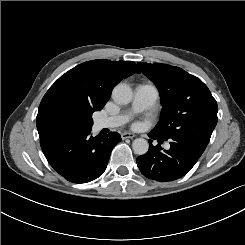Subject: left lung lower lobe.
<instances>
[{"label": "left lung lower lobe", "mask_w": 245, "mask_h": 245, "mask_svg": "<svg viewBox=\"0 0 245 245\" xmlns=\"http://www.w3.org/2000/svg\"><path fill=\"white\" fill-rule=\"evenodd\" d=\"M148 135L152 139H158L159 143L168 140L159 137L154 131ZM169 140V150L162 152L160 145H150L149 151L136 159L137 166L145 177L160 182L177 180L191 170L207 146L183 137Z\"/></svg>", "instance_id": "1"}]
</instances>
